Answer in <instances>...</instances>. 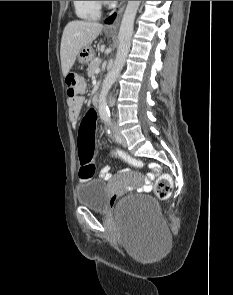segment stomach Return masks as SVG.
Returning <instances> with one entry per match:
<instances>
[{
	"label": "stomach",
	"instance_id": "1",
	"mask_svg": "<svg viewBox=\"0 0 233 295\" xmlns=\"http://www.w3.org/2000/svg\"><path fill=\"white\" fill-rule=\"evenodd\" d=\"M80 63H87L93 59V51L89 46L83 47L77 55Z\"/></svg>",
	"mask_w": 233,
	"mask_h": 295
}]
</instances>
